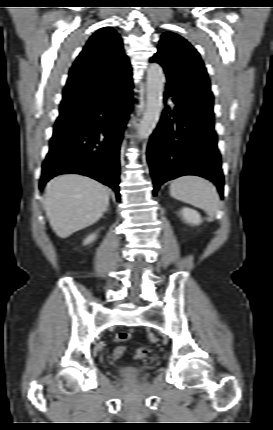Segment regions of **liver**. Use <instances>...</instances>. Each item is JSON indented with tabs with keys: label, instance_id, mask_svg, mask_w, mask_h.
<instances>
[{
	"label": "liver",
	"instance_id": "6515ba94",
	"mask_svg": "<svg viewBox=\"0 0 273 430\" xmlns=\"http://www.w3.org/2000/svg\"><path fill=\"white\" fill-rule=\"evenodd\" d=\"M108 206L106 187L80 174L56 176L45 188L46 215L60 238H67L94 224Z\"/></svg>",
	"mask_w": 273,
	"mask_h": 430
}]
</instances>
